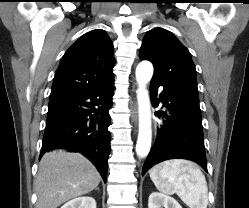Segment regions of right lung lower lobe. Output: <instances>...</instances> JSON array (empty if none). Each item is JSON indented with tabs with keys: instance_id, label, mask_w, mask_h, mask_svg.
Masks as SVG:
<instances>
[{
	"instance_id": "right-lung-lower-lobe-1",
	"label": "right lung lower lobe",
	"mask_w": 249,
	"mask_h": 208,
	"mask_svg": "<svg viewBox=\"0 0 249 208\" xmlns=\"http://www.w3.org/2000/svg\"><path fill=\"white\" fill-rule=\"evenodd\" d=\"M114 79L97 88L50 99L40 157L57 148L85 155L106 182Z\"/></svg>"
}]
</instances>
